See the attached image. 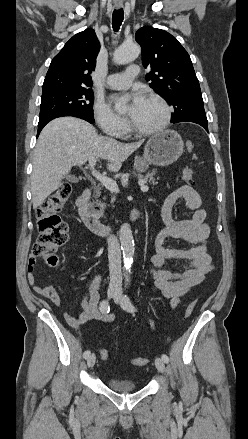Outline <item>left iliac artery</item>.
Here are the masks:
<instances>
[{
	"instance_id": "left-iliac-artery-1",
	"label": "left iliac artery",
	"mask_w": 248,
	"mask_h": 439,
	"mask_svg": "<svg viewBox=\"0 0 248 439\" xmlns=\"http://www.w3.org/2000/svg\"><path fill=\"white\" fill-rule=\"evenodd\" d=\"M129 285H130V277H127L126 287H128ZM122 308L128 312L136 311V307L132 304V302L130 301L127 295L123 297ZM151 326H154L153 322H151ZM161 358L165 363L169 362V357L166 354H162Z\"/></svg>"
}]
</instances>
